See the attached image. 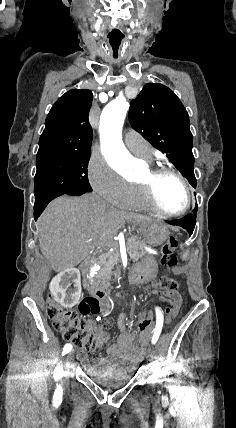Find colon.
Segmentation results:
<instances>
[{"mask_svg":"<svg viewBox=\"0 0 236 428\" xmlns=\"http://www.w3.org/2000/svg\"><path fill=\"white\" fill-rule=\"evenodd\" d=\"M178 247V241L174 237H170L162 248L161 263L167 268L177 266L178 258L175 250ZM158 286L168 294L170 298V306L166 309L168 320L177 313L179 307V290L180 283L171 277H161L158 281ZM47 313L52 321L53 327L61 336L73 344L76 348L91 352L99 347L105 337L94 329L82 317L90 314H98L105 306V301H101L94 296L84 298L79 306L78 311L65 308L58 304L52 295H49L46 300ZM136 324L143 327L147 324V320L138 315Z\"/></svg>","mask_w":236,"mask_h":428,"instance_id":"colon-1","label":"colon"}]
</instances>
